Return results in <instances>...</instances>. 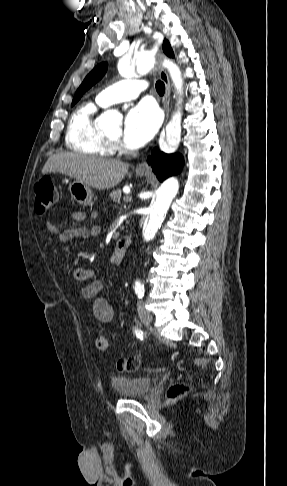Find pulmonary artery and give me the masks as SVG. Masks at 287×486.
<instances>
[{
    "mask_svg": "<svg viewBox=\"0 0 287 486\" xmlns=\"http://www.w3.org/2000/svg\"><path fill=\"white\" fill-rule=\"evenodd\" d=\"M146 88L143 81L136 79L121 80L103 89L96 97V101L102 106L129 101L137 98Z\"/></svg>",
    "mask_w": 287,
    "mask_h": 486,
    "instance_id": "1",
    "label": "pulmonary artery"
}]
</instances>
